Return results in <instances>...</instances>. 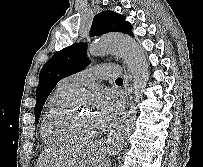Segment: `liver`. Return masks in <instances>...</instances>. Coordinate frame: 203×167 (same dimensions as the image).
Listing matches in <instances>:
<instances>
[{"mask_svg":"<svg viewBox=\"0 0 203 167\" xmlns=\"http://www.w3.org/2000/svg\"><path fill=\"white\" fill-rule=\"evenodd\" d=\"M98 148L94 145L68 146L42 153L37 167H86Z\"/></svg>","mask_w":203,"mask_h":167,"instance_id":"liver-1","label":"liver"}]
</instances>
